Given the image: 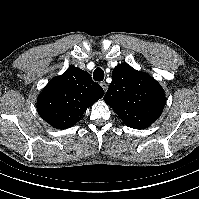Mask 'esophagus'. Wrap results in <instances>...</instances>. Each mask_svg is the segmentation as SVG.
<instances>
[{"label": "esophagus", "instance_id": "1", "mask_svg": "<svg viewBox=\"0 0 199 199\" xmlns=\"http://www.w3.org/2000/svg\"><path fill=\"white\" fill-rule=\"evenodd\" d=\"M100 86L103 88V90L106 92L107 91V89H108V85H107V83L106 82H101L100 83Z\"/></svg>", "mask_w": 199, "mask_h": 199}]
</instances>
